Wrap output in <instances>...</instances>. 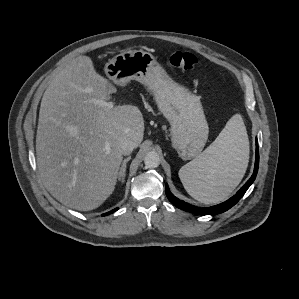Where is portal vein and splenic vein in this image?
I'll list each match as a JSON object with an SVG mask.
<instances>
[{
    "label": "portal vein and splenic vein",
    "instance_id": "portal-vein-and-splenic-vein-1",
    "mask_svg": "<svg viewBox=\"0 0 299 299\" xmlns=\"http://www.w3.org/2000/svg\"><path fill=\"white\" fill-rule=\"evenodd\" d=\"M92 102L95 103V104H98L102 107H107L109 109H112L114 107L112 102H105L103 100H97V99H93Z\"/></svg>",
    "mask_w": 299,
    "mask_h": 299
}]
</instances>
